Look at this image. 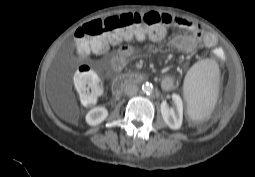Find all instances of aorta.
<instances>
[{
    "mask_svg": "<svg viewBox=\"0 0 255 177\" xmlns=\"http://www.w3.org/2000/svg\"><path fill=\"white\" fill-rule=\"evenodd\" d=\"M142 91L145 93V94H150L152 93L153 91V85L149 82H146L142 85Z\"/></svg>",
    "mask_w": 255,
    "mask_h": 177,
    "instance_id": "1",
    "label": "aorta"
}]
</instances>
